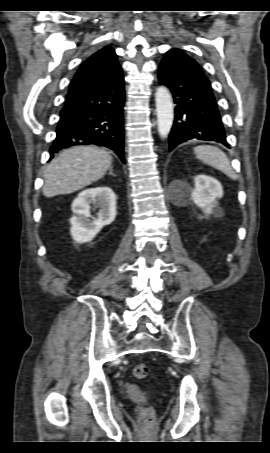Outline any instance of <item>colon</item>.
<instances>
[{
  "label": "colon",
  "mask_w": 270,
  "mask_h": 453,
  "mask_svg": "<svg viewBox=\"0 0 270 453\" xmlns=\"http://www.w3.org/2000/svg\"><path fill=\"white\" fill-rule=\"evenodd\" d=\"M149 368L144 363H138L133 368V374L138 379H144L148 376ZM154 420V412L151 408L147 407L142 411L141 421L147 424L152 423Z\"/></svg>",
  "instance_id": "1"
}]
</instances>
